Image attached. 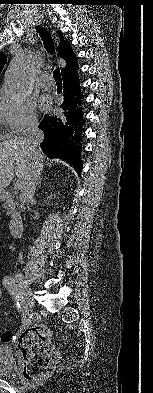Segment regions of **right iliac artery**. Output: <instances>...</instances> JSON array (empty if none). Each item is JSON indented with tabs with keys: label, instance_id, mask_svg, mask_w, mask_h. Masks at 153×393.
Instances as JSON below:
<instances>
[{
	"label": "right iliac artery",
	"instance_id": "obj_1",
	"mask_svg": "<svg viewBox=\"0 0 153 393\" xmlns=\"http://www.w3.org/2000/svg\"><path fill=\"white\" fill-rule=\"evenodd\" d=\"M3 285L8 290L12 298L15 300L18 308L22 309L24 307V297L19 291V285L15 283V279L11 276H5L3 278Z\"/></svg>",
	"mask_w": 153,
	"mask_h": 393
}]
</instances>
